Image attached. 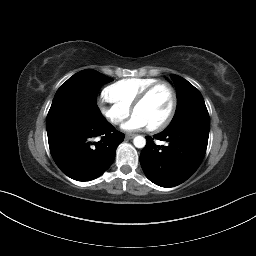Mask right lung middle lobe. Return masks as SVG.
Here are the masks:
<instances>
[{
  "label": "right lung middle lobe",
  "instance_id": "1",
  "mask_svg": "<svg viewBox=\"0 0 256 256\" xmlns=\"http://www.w3.org/2000/svg\"><path fill=\"white\" fill-rule=\"evenodd\" d=\"M112 80L92 69L76 73L56 92L47 118L57 114L102 115L97 94L102 85Z\"/></svg>",
  "mask_w": 256,
  "mask_h": 256
}]
</instances>
